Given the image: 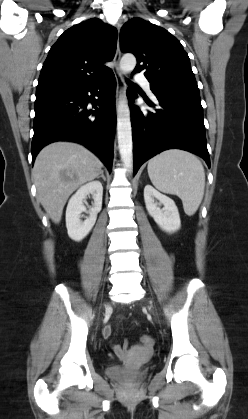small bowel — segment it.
Here are the masks:
<instances>
[{
    "instance_id": "c3829d8e",
    "label": "small bowel",
    "mask_w": 248,
    "mask_h": 419,
    "mask_svg": "<svg viewBox=\"0 0 248 419\" xmlns=\"http://www.w3.org/2000/svg\"><path fill=\"white\" fill-rule=\"evenodd\" d=\"M111 334H112L111 328L110 327H107L105 329V335H106V337H110ZM128 347H129V343L127 341H125L123 343V346L122 347H120L118 345H113V351H114L115 356L118 357V358H123L124 357V351L127 350Z\"/></svg>"
}]
</instances>
